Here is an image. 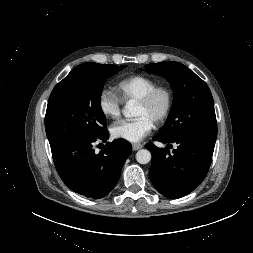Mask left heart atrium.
Segmentation results:
<instances>
[{"label":"left heart atrium","mask_w":253,"mask_h":253,"mask_svg":"<svg viewBox=\"0 0 253 253\" xmlns=\"http://www.w3.org/2000/svg\"><path fill=\"white\" fill-rule=\"evenodd\" d=\"M154 129V121L147 116H140L133 120H123L114 123L110 132L114 138L129 142H139Z\"/></svg>","instance_id":"obj_1"}]
</instances>
